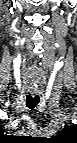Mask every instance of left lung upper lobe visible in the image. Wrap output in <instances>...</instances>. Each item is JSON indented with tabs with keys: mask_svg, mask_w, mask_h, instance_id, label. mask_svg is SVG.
I'll list each match as a JSON object with an SVG mask.
<instances>
[{
	"mask_svg": "<svg viewBox=\"0 0 77 143\" xmlns=\"http://www.w3.org/2000/svg\"><path fill=\"white\" fill-rule=\"evenodd\" d=\"M77 136V128L75 125L65 126L64 129L58 134L59 139L75 140Z\"/></svg>",
	"mask_w": 77,
	"mask_h": 143,
	"instance_id": "obj_1",
	"label": "left lung upper lobe"
}]
</instances>
